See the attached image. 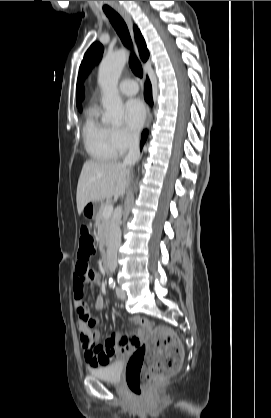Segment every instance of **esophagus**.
Masks as SVG:
<instances>
[{
  "mask_svg": "<svg viewBox=\"0 0 271 418\" xmlns=\"http://www.w3.org/2000/svg\"><path fill=\"white\" fill-rule=\"evenodd\" d=\"M116 11L121 15V17L124 19V21L126 22L131 38H132V42H133V46L135 49V52L137 54V56L139 57V53H138V45L137 42L135 40V36H134V31H133V22H132V18L130 16V14L122 7H117ZM145 78V76H144ZM152 120V115H151V111L150 108H147V121H146V128L149 127L150 123Z\"/></svg>",
  "mask_w": 271,
  "mask_h": 418,
  "instance_id": "obj_1",
  "label": "esophagus"
}]
</instances>
